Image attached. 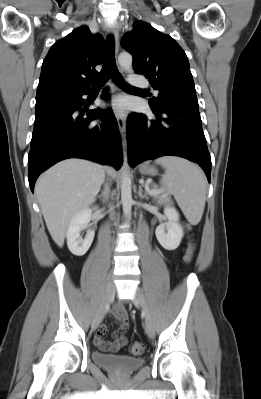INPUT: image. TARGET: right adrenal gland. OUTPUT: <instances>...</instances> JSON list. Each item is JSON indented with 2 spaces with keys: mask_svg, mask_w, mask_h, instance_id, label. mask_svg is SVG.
<instances>
[{
  "mask_svg": "<svg viewBox=\"0 0 261 399\" xmlns=\"http://www.w3.org/2000/svg\"><path fill=\"white\" fill-rule=\"evenodd\" d=\"M108 197H109V188L105 185L104 190L100 195H98V198L102 201V203H104L105 201H107Z\"/></svg>",
  "mask_w": 261,
  "mask_h": 399,
  "instance_id": "right-adrenal-gland-1",
  "label": "right adrenal gland"
}]
</instances>
